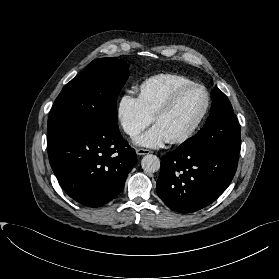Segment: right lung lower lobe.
<instances>
[{
  "label": "right lung lower lobe",
  "mask_w": 279,
  "mask_h": 279,
  "mask_svg": "<svg viewBox=\"0 0 279 279\" xmlns=\"http://www.w3.org/2000/svg\"><path fill=\"white\" fill-rule=\"evenodd\" d=\"M50 165L63 190L78 203L100 207L122 191L136 164L118 127L90 128L47 145Z\"/></svg>",
  "instance_id": "1"
}]
</instances>
